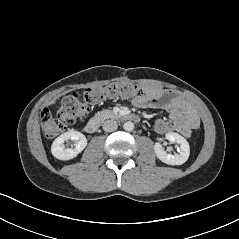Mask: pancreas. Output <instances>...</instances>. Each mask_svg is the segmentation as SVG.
Masks as SVG:
<instances>
[{"instance_id":"pancreas-1","label":"pancreas","mask_w":239,"mask_h":239,"mask_svg":"<svg viewBox=\"0 0 239 239\" xmlns=\"http://www.w3.org/2000/svg\"><path fill=\"white\" fill-rule=\"evenodd\" d=\"M95 116H96V118H98L100 120H103V119H106V118L115 117V114L113 113L112 110L105 109V110H102V111L96 113Z\"/></svg>"}]
</instances>
